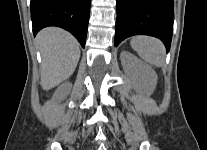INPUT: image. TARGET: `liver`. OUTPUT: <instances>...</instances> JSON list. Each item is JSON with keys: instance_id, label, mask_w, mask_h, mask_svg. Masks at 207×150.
Masks as SVG:
<instances>
[{"instance_id": "liver-1", "label": "liver", "mask_w": 207, "mask_h": 150, "mask_svg": "<svg viewBox=\"0 0 207 150\" xmlns=\"http://www.w3.org/2000/svg\"><path fill=\"white\" fill-rule=\"evenodd\" d=\"M42 55L41 87L50 90L68 79L78 64L80 48L77 40L65 30L49 27L36 36Z\"/></svg>"}]
</instances>
